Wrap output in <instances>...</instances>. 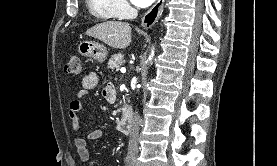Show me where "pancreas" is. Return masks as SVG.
<instances>
[{
  "label": "pancreas",
  "mask_w": 277,
  "mask_h": 166,
  "mask_svg": "<svg viewBox=\"0 0 277 166\" xmlns=\"http://www.w3.org/2000/svg\"><path fill=\"white\" fill-rule=\"evenodd\" d=\"M125 61L123 60V55L118 53L113 55L109 61H108V66L107 68L111 69V70H115L118 71L120 65H122Z\"/></svg>",
  "instance_id": "cf45deb5"
}]
</instances>
